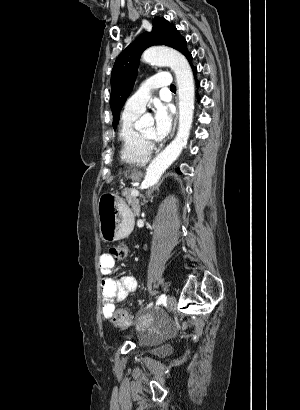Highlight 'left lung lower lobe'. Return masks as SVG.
Masks as SVG:
<instances>
[{"mask_svg":"<svg viewBox=\"0 0 300 410\" xmlns=\"http://www.w3.org/2000/svg\"><path fill=\"white\" fill-rule=\"evenodd\" d=\"M186 58L188 59L189 63L191 64V67H192V69H193V73H194L195 78H196L197 69H196V67H194V66L192 65V55L189 54ZM196 86H197V88L199 87V82L197 81V79H196ZM197 99H198V101L200 100V97H199L198 94H197ZM177 171L179 172V170H177Z\"/></svg>","mask_w":300,"mask_h":410,"instance_id":"1","label":"left lung lower lobe"}]
</instances>
